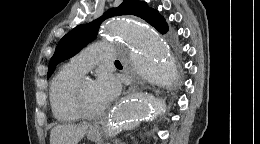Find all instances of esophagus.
Returning a JSON list of instances; mask_svg holds the SVG:
<instances>
[{"mask_svg": "<svg viewBox=\"0 0 260 144\" xmlns=\"http://www.w3.org/2000/svg\"><path fill=\"white\" fill-rule=\"evenodd\" d=\"M141 82L138 81L136 78H134L133 82L128 86V88L125 90L124 95H130L133 92L137 91L140 88ZM92 130H97L98 126H92Z\"/></svg>", "mask_w": 260, "mask_h": 144, "instance_id": "1", "label": "esophagus"}]
</instances>
